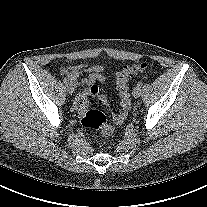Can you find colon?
<instances>
[{
    "label": "colon",
    "mask_w": 207,
    "mask_h": 207,
    "mask_svg": "<svg viewBox=\"0 0 207 207\" xmlns=\"http://www.w3.org/2000/svg\"><path fill=\"white\" fill-rule=\"evenodd\" d=\"M147 68V64L138 63L125 66L118 74L116 80L117 90L120 96L121 110L113 115V121L116 124L123 123L131 107V98L128 87V81L133 76L143 73ZM89 97H96L102 105H108L109 100L106 95L100 93L97 85H90L87 89L77 94L74 99V107L78 112L81 124L90 129L100 131L102 137H109L113 134V128L106 121L105 115L98 110L89 109Z\"/></svg>",
    "instance_id": "colon-1"
}]
</instances>
